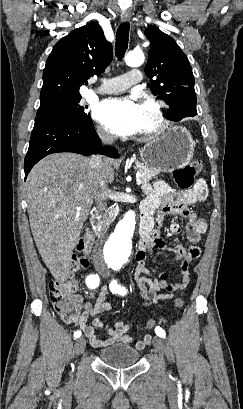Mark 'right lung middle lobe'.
Masks as SVG:
<instances>
[{"instance_id":"1","label":"right lung middle lobe","mask_w":243,"mask_h":409,"mask_svg":"<svg viewBox=\"0 0 243 409\" xmlns=\"http://www.w3.org/2000/svg\"><path fill=\"white\" fill-rule=\"evenodd\" d=\"M81 95L68 98H52L40 101L36 118L47 117L66 120L73 124H84L91 120L90 114L85 112L87 106H82Z\"/></svg>"}]
</instances>
